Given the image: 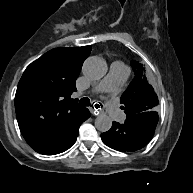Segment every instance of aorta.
Here are the masks:
<instances>
[{
  "label": "aorta",
  "mask_w": 193,
  "mask_h": 193,
  "mask_svg": "<svg viewBox=\"0 0 193 193\" xmlns=\"http://www.w3.org/2000/svg\"><path fill=\"white\" fill-rule=\"evenodd\" d=\"M107 71L105 61L99 57H89L83 65V73L92 79L102 78ZM95 127L100 132H107L112 127V120L106 114H100L95 119Z\"/></svg>",
  "instance_id": "762f6f07"
}]
</instances>
